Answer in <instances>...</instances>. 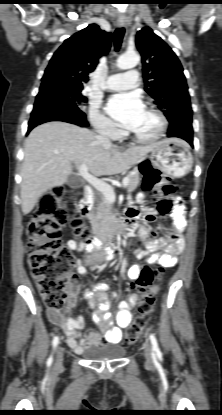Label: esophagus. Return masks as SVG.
Here are the masks:
<instances>
[{"instance_id":"esophagus-1","label":"esophagus","mask_w":222,"mask_h":415,"mask_svg":"<svg viewBox=\"0 0 222 415\" xmlns=\"http://www.w3.org/2000/svg\"><path fill=\"white\" fill-rule=\"evenodd\" d=\"M127 24H128V20H126V19H119V21H118V26L119 27H126Z\"/></svg>"}]
</instances>
